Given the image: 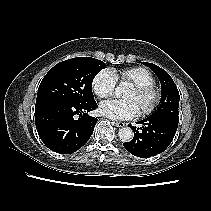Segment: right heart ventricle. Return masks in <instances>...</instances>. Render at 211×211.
<instances>
[{"instance_id": "right-heart-ventricle-1", "label": "right heart ventricle", "mask_w": 211, "mask_h": 211, "mask_svg": "<svg viewBox=\"0 0 211 211\" xmlns=\"http://www.w3.org/2000/svg\"><path fill=\"white\" fill-rule=\"evenodd\" d=\"M116 80L131 82L132 84H153L154 76L143 67H131L120 71H112Z\"/></svg>"}]
</instances>
